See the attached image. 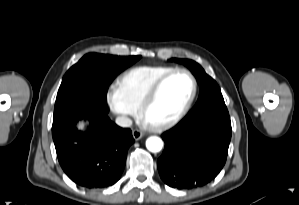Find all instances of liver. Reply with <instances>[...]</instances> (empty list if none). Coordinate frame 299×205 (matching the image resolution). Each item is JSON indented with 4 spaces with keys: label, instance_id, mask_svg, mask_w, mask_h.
Listing matches in <instances>:
<instances>
[{
    "label": "liver",
    "instance_id": "1",
    "mask_svg": "<svg viewBox=\"0 0 299 205\" xmlns=\"http://www.w3.org/2000/svg\"><path fill=\"white\" fill-rule=\"evenodd\" d=\"M79 128H81V129L84 128V125H83V124H80Z\"/></svg>",
    "mask_w": 299,
    "mask_h": 205
}]
</instances>
